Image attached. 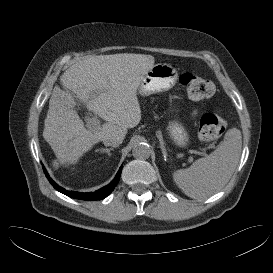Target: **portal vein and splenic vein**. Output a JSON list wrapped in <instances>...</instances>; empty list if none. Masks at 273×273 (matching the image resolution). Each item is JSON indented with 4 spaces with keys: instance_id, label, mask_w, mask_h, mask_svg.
I'll return each instance as SVG.
<instances>
[{
    "instance_id": "obj_1",
    "label": "portal vein and splenic vein",
    "mask_w": 273,
    "mask_h": 273,
    "mask_svg": "<svg viewBox=\"0 0 273 273\" xmlns=\"http://www.w3.org/2000/svg\"><path fill=\"white\" fill-rule=\"evenodd\" d=\"M91 124L89 125V129L91 131H96L100 128L99 120L96 116L90 119Z\"/></svg>"
}]
</instances>
